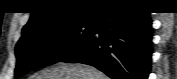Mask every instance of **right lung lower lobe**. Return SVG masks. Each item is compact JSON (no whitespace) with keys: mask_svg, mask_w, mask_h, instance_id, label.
<instances>
[{"mask_svg":"<svg viewBox=\"0 0 177 79\" xmlns=\"http://www.w3.org/2000/svg\"><path fill=\"white\" fill-rule=\"evenodd\" d=\"M152 55L149 11L113 6L94 20L89 37L59 62L92 65L112 79H147Z\"/></svg>","mask_w":177,"mask_h":79,"instance_id":"right-lung-lower-lobe-1","label":"right lung lower lobe"}]
</instances>
